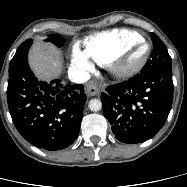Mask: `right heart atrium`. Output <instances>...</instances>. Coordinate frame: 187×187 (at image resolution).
<instances>
[{
    "label": "right heart atrium",
    "instance_id": "1",
    "mask_svg": "<svg viewBox=\"0 0 187 187\" xmlns=\"http://www.w3.org/2000/svg\"><path fill=\"white\" fill-rule=\"evenodd\" d=\"M72 64L81 74H86L93 70V63L87 53L78 45H74L71 53Z\"/></svg>",
    "mask_w": 187,
    "mask_h": 187
}]
</instances>
